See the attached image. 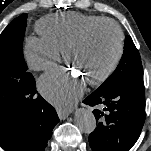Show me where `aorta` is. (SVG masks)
I'll list each match as a JSON object with an SVG mask.
<instances>
[{
	"label": "aorta",
	"mask_w": 151,
	"mask_h": 151,
	"mask_svg": "<svg viewBox=\"0 0 151 151\" xmlns=\"http://www.w3.org/2000/svg\"><path fill=\"white\" fill-rule=\"evenodd\" d=\"M75 122L80 131L86 134L92 133L96 128V118L94 114L85 108L76 110Z\"/></svg>",
	"instance_id": "aorta-1"
}]
</instances>
